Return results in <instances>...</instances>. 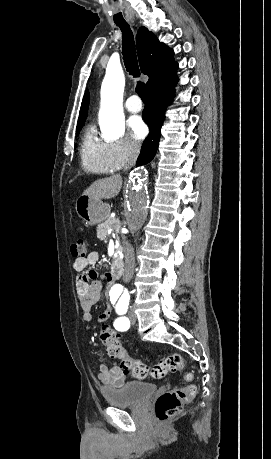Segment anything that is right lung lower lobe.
Returning a JSON list of instances; mask_svg holds the SVG:
<instances>
[{
	"mask_svg": "<svg viewBox=\"0 0 271 459\" xmlns=\"http://www.w3.org/2000/svg\"><path fill=\"white\" fill-rule=\"evenodd\" d=\"M177 82L178 77L173 73L148 89L149 103L143 111V119L149 126L150 133L143 142L136 166L150 162L156 154L165 110L172 101Z\"/></svg>",
	"mask_w": 271,
	"mask_h": 459,
	"instance_id": "obj_1",
	"label": "right lung lower lobe"
}]
</instances>
